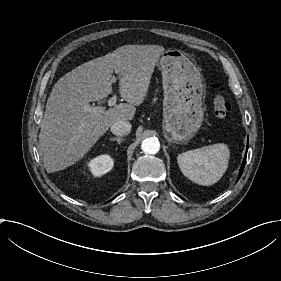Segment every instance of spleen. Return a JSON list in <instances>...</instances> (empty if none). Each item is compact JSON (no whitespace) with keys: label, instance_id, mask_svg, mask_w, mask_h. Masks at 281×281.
Here are the masks:
<instances>
[{"label":"spleen","instance_id":"1","mask_svg":"<svg viewBox=\"0 0 281 281\" xmlns=\"http://www.w3.org/2000/svg\"><path fill=\"white\" fill-rule=\"evenodd\" d=\"M230 156L229 144L220 142L182 153L178 163L182 173L192 182L199 179L204 186H210L225 175Z\"/></svg>","mask_w":281,"mask_h":281}]
</instances>
